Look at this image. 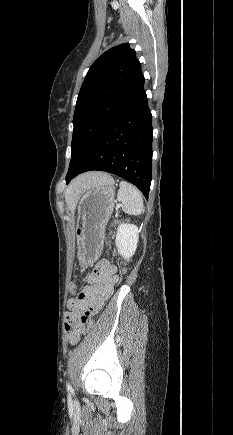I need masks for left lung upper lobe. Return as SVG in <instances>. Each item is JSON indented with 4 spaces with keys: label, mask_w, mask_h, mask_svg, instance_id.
Wrapping results in <instances>:
<instances>
[{
    "label": "left lung upper lobe",
    "mask_w": 233,
    "mask_h": 435,
    "mask_svg": "<svg viewBox=\"0 0 233 435\" xmlns=\"http://www.w3.org/2000/svg\"><path fill=\"white\" fill-rule=\"evenodd\" d=\"M144 83L141 64L128 43L109 49L91 65L76 102L69 168L145 92Z\"/></svg>",
    "instance_id": "obj_1"
}]
</instances>
